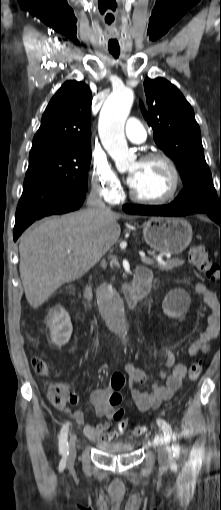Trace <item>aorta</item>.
Segmentation results:
<instances>
[{
  "instance_id": "1",
  "label": "aorta",
  "mask_w": 221,
  "mask_h": 510,
  "mask_svg": "<svg viewBox=\"0 0 221 510\" xmlns=\"http://www.w3.org/2000/svg\"><path fill=\"white\" fill-rule=\"evenodd\" d=\"M134 100L133 91L127 87L113 90L100 111L98 131L101 142L115 161L119 170L125 169L132 154L125 139L124 126ZM100 306L105 316L121 334L126 332V311L124 301L112 285L100 290Z\"/></svg>"
}]
</instances>
